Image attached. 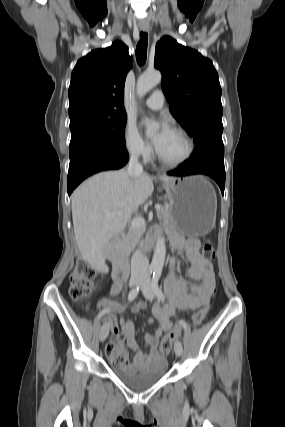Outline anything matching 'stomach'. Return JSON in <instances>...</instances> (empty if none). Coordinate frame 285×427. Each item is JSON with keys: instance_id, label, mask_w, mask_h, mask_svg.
<instances>
[{"instance_id": "stomach-1", "label": "stomach", "mask_w": 285, "mask_h": 427, "mask_svg": "<svg viewBox=\"0 0 285 427\" xmlns=\"http://www.w3.org/2000/svg\"><path fill=\"white\" fill-rule=\"evenodd\" d=\"M169 199L170 221L186 236L209 233L216 218L217 198L203 176L175 178L163 185Z\"/></svg>"}]
</instances>
